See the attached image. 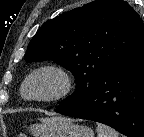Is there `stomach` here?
I'll list each match as a JSON object with an SVG mask.
<instances>
[{"mask_svg": "<svg viewBox=\"0 0 144 137\" xmlns=\"http://www.w3.org/2000/svg\"><path fill=\"white\" fill-rule=\"evenodd\" d=\"M33 137H94L87 126L77 125L67 117H53L30 126Z\"/></svg>", "mask_w": 144, "mask_h": 137, "instance_id": "0dacf381", "label": "stomach"}]
</instances>
